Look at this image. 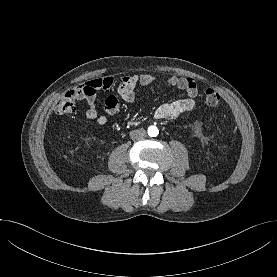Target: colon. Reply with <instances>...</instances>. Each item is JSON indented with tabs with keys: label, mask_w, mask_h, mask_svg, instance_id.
Returning a JSON list of instances; mask_svg holds the SVG:
<instances>
[{
	"label": "colon",
	"mask_w": 277,
	"mask_h": 277,
	"mask_svg": "<svg viewBox=\"0 0 277 277\" xmlns=\"http://www.w3.org/2000/svg\"><path fill=\"white\" fill-rule=\"evenodd\" d=\"M81 87L67 92L56 106L58 114H73L76 110V101L83 95ZM205 102L209 106H216L220 102L219 94L213 89H207L204 93Z\"/></svg>",
	"instance_id": "obj_1"
}]
</instances>
